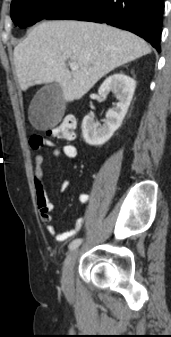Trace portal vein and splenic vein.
I'll use <instances>...</instances> for the list:
<instances>
[{"label":"portal vein and splenic vein","mask_w":171,"mask_h":337,"mask_svg":"<svg viewBox=\"0 0 171 337\" xmlns=\"http://www.w3.org/2000/svg\"><path fill=\"white\" fill-rule=\"evenodd\" d=\"M70 68L72 69V70H76V69H78L79 68V65H78V63L77 62H75V61H72V62H70Z\"/></svg>","instance_id":"1"}]
</instances>
